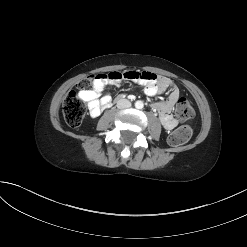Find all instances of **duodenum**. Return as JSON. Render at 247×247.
Masks as SVG:
<instances>
[{
    "label": "duodenum",
    "instance_id": "obj_1",
    "mask_svg": "<svg viewBox=\"0 0 247 247\" xmlns=\"http://www.w3.org/2000/svg\"><path fill=\"white\" fill-rule=\"evenodd\" d=\"M124 97H125V96H124L123 94H120V95L118 94V95L115 97L116 99H115L114 101L117 103V102L119 101V100H118L119 98H120V99H123Z\"/></svg>",
    "mask_w": 247,
    "mask_h": 247
}]
</instances>
